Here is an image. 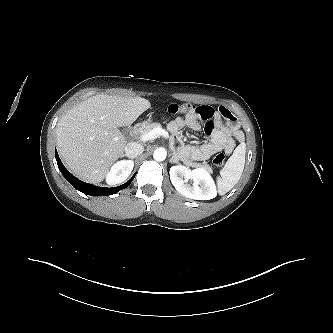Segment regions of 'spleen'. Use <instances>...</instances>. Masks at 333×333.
<instances>
[{
    "mask_svg": "<svg viewBox=\"0 0 333 333\" xmlns=\"http://www.w3.org/2000/svg\"><path fill=\"white\" fill-rule=\"evenodd\" d=\"M245 144H240L225 163L218 178V191L220 195L230 191L241 178L245 165Z\"/></svg>",
    "mask_w": 333,
    "mask_h": 333,
    "instance_id": "obj_1",
    "label": "spleen"
}]
</instances>
